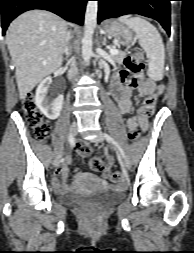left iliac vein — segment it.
Here are the masks:
<instances>
[{"instance_id":"4c4485c4","label":"left iliac vein","mask_w":194,"mask_h":253,"mask_svg":"<svg viewBox=\"0 0 194 253\" xmlns=\"http://www.w3.org/2000/svg\"><path fill=\"white\" fill-rule=\"evenodd\" d=\"M104 135H103V133L102 132H99L97 135H96V137L93 139V141L94 142H96V143H100V142H103L104 141ZM122 165H123V167L125 168V169H130L131 168V162H130V160H129V158L128 157H124V159H123V162H122Z\"/></svg>"}]
</instances>
